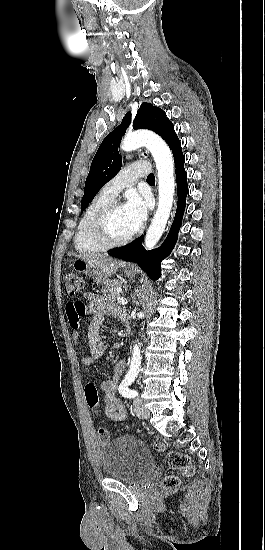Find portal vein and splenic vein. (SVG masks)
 I'll return each mask as SVG.
<instances>
[{"label": "portal vein and splenic vein", "instance_id": "1", "mask_svg": "<svg viewBox=\"0 0 265 550\" xmlns=\"http://www.w3.org/2000/svg\"><path fill=\"white\" fill-rule=\"evenodd\" d=\"M117 302L120 303V304H122V305L127 304V300L124 299L123 297H118V298H117Z\"/></svg>", "mask_w": 265, "mask_h": 550}]
</instances>
